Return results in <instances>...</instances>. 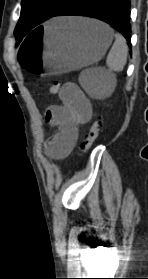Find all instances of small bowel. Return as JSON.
<instances>
[{
	"mask_svg": "<svg viewBox=\"0 0 148 279\" xmlns=\"http://www.w3.org/2000/svg\"><path fill=\"white\" fill-rule=\"evenodd\" d=\"M61 105L49 106L45 112L47 122L58 128L45 144V153L54 160L66 158L74 149L79 126L92 117V106L81 89L66 83L61 88Z\"/></svg>",
	"mask_w": 148,
	"mask_h": 279,
	"instance_id": "small-bowel-1",
	"label": "small bowel"
}]
</instances>
